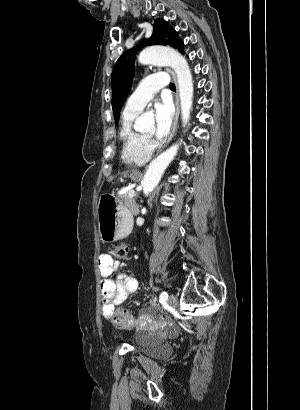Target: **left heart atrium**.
<instances>
[{
    "instance_id": "obj_1",
    "label": "left heart atrium",
    "mask_w": 300,
    "mask_h": 410,
    "mask_svg": "<svg viewBox=\"0 0 300 410\" xmlns=\"http://www.w3.org/2000/svg\"><path fill=\"white\" fill-rule=\"evenodd\" d=\"M155 137L163 139L170 131L172 125V108L168 103H157L154 106Z\"/></svg>"
}]
</instances>
